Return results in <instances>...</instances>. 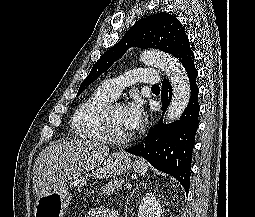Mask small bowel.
<instances>
[{"mask_svg":"<svg viewBox=\"0 0 255 217\" xmlns=\"http://www.w3.org/2000/svg\"><path fill=\"white\" fill-rule=\"evenodd\" d=\"M87 217H118V214L115 210L97 207L90 209Z\"/></svg>","mask_w":255,"mask_h":217,"instance_id":"c3829d8e","label":"small bowel"}]
</instances>
